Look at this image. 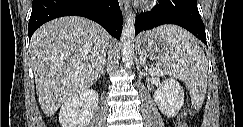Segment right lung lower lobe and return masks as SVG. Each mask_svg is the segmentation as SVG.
Segmentation results:
<instances>
[{
	"instance_id": "obj_1",
	"label": "right lung lower lobe",
	"mask_w": 243,
	"mask_h": 127,
	"mask_svg": "<svg viewBox=\"0 0 243 127\" xmlns=\"http://www.w3.org/2000/svg\"><path fill=\"white\" fill-rule=\"evenodd\" d=\"M70 15L91 19L120 39L123 17L118 0H33L28 24L29 39L45 22Z\"/></svg>"
}]
</instances>
